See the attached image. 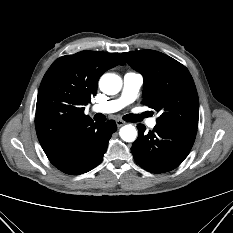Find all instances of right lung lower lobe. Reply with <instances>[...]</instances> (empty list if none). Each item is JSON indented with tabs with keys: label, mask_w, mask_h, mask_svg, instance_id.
<instances>
[{
	"label": "right lung lower lobe",
	"mask_w": 233,
	"mask_h": 233,
	"mask_svg": "<svg viewBox=\"0 0 233 233\" xmlns=\"http://www.w3.org/2000/svg\"><path fill=\"white\" fill-rule=\"evenodd\" d=\"M116 129L117 126L113 120L106 123H95L79 146L63 153L46 155L56 168L66 174L86 173L101 163L109 139Z\"/></svg>",
	"instance_id": "98d812e1"
}]
</instances>
